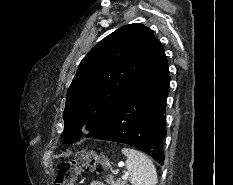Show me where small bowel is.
Segmentation results:
<instances>
[{
    "instance_id": "c3829d8e",
    "label": "small bowel",
    "mask_w": 233,
    "mask_h": 185,
    "mask_svg": "<svg viewBox=\"0 0 233 185\" xmlns=\"http://www.w3.org/2000/svg\"><path fill=\"white\" fill-rule=\"evenodd\" d=\"M89 185H106L100 181H92Z\"/></svg>"
}]
</instances>
